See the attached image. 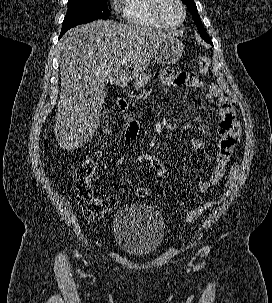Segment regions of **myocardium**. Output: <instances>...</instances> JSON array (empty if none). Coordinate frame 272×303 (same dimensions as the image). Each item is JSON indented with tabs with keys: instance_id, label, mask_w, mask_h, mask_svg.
Returning <instances> with one entry per match:
<instances>
[{
	"instance_id": "obj_1",
	"label": "myocardium",
	"mask_w": 272,
	"mask_h": 303,
	"mask_svg": "<svg viewBox=\"0 0 272 303\" xmlns=\"http://www.w3.org/2000/svg\"><path fill=\"white\" fill-rule=\"evenodd\" d=\"M168 0H157L156 6H155V14L157 19L166 27V28H170V29H174L177 28L179 26H181L183 24V22L185 21L186 18V7L183 3L182 0H173L175 3H177L181 9V19L179 22L175 23V24H171L169 23L164 15H163V8L165 3Z\"/></svg>"
}]
</instances>
